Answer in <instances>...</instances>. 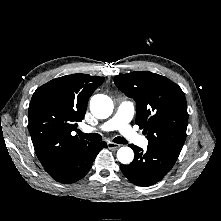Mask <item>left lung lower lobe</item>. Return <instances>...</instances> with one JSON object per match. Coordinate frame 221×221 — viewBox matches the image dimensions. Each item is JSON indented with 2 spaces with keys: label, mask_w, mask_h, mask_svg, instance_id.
<instances>
[{
  "label": "left lung lower lobe",
  "mask_w": 221,
  "mask_h": 221,
  "mask_svg": "<svg viewBox=\"0 0 221 221\" xmlns=\"http://www.w3.org/2000/svg\"><path fill=\"white\" fill-rule=\"evenodd\" d=\"M135 153L128 165H120L123 174L137 186H150L161 180L173 167L178 157L160 149L148 147L146 152L133 144Z\"/></svg>",
  "instance_id": "1"
}]
</instances>
